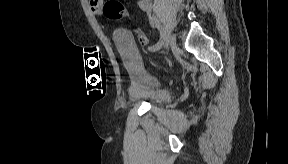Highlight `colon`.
<instances>
[{
	"label": "colon",
	"instance_id": "colon-1",
	"mask_svg": "<svg viewBox=\"0 0 288 164\" xmlns=\"http://www.w3.org/2000/svg\"><path fill=\"white\" fill-rule=\"evenodd\" d=\"M104 13L111 20L125 18L128 15L125 6L117 0L107 2L104 5ZM137 38L140 42V46L148 45L149 39L144 33L137 31Z\"/></svg>",
	"mask_w": 288,
	"mask_h": 164
}]
</instances>
